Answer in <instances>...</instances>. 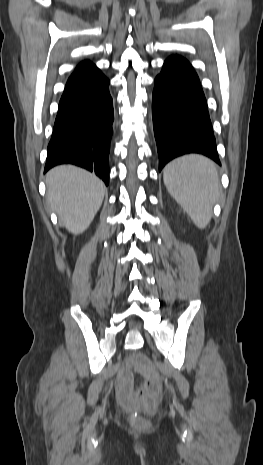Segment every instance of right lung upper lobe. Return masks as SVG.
<instances>
[{"label": "right lung upper lobe", "mask_w": 263, "mask_h": 465, "mask_svg": "<svg viewBox=\"0 0 263 465\" xmlns=\"http://www.w3.org/2000/svg\"><path fill=\"white\" fill-rule=\"evenodd\" d=\"M91 66H93V64L90 61H83L77 66L76 70L84 69Z\"/></svg>", "instance_id": "cb5924a9"}]
</instances>
